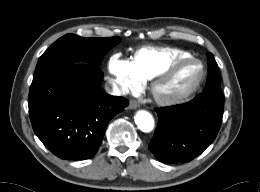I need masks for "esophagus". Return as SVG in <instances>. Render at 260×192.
Returning <instances> with one entry per match:
<instances>
[{
  "instance_id": "34e87169",
  "label": "esophagus",
  "mask_w": 260,
  "mask_h": 192,
  "mask_svg": "<svg viewBox=\"0 0 260 192\" xmlns=\"http://www.w3.org/2000/svg\"><path fill=\"white\" fill-rule=\"evenodd\" d=\"M139 107V103L136 100H131L129 103L130 109H137Z\"/></svg>"
}]
</instances>
